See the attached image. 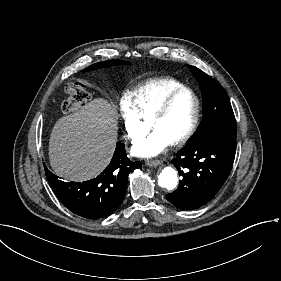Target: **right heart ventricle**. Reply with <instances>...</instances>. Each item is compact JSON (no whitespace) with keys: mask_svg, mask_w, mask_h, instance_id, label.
<instances>
[{"mask_svg":"<svg viewBox=\"0 0 281 281\" xmlns=\"http://www.w3.org/2000/svg\"><path fill=\"white\" fill-rule=\"evenodd\" d=\"M186 88L173 78L161 79L152 85L126 95L125 100L131 105L139 120L144 123L150 114L172 93Z\"/></svg>","mask_w":281,"mask_h":281,"instance_id":"obj_1","label":"right heart ventricle"}]
</instances>
